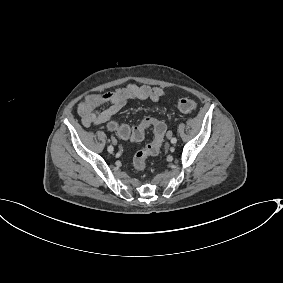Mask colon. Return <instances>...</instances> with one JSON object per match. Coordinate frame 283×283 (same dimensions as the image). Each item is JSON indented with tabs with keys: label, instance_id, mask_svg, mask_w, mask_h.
<instances>
[{
	"label": "colon",
	"instance_id": "obj_1",
	"mask_svg": "<svg viewBox=\"0 0 283 283\" xmlns=\"http://www.w3.org/2000/svg\"><path fill=\"white\" fill-rule=\"evenodd\" d=\"M197 104L193 99L182 98L177 103V108L184 113L192 112L196 109ZM152 127L154 131L153 141L144 149L138 151L133 158V167L137 171H144L146 168V160L149 156H156L160 152V148L166 132L165 124L153 117H145L139 125L131 129L128 125L120 124L116 121H110L107 128L116 132L120 137L131 141H140L147 128Z\"/></svg>",
	"mask_w": 283,
	"mask_h": 283
}]
</instances>
